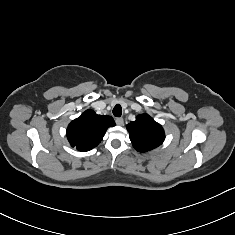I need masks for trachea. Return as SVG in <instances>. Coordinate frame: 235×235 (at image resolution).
<instances>
[{"label":"trachea","instance_id":"trachea-1","mask_svg":"<svg viewBox=\"0 0 235 235\" xmlns=\"http://www.w3.org/2000/svg\"><path fill=\"white\" fill-rule=\"evenodd\" d=\"M113 115L115 117H120L122 115V107L119 104L115 105L113 108Z\"/></svg>","mask_w":235,"mask_h":235}]
</instances>
